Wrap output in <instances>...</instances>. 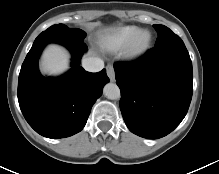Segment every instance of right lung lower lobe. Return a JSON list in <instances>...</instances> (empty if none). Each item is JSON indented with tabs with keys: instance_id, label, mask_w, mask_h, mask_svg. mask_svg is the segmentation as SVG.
Masks as SVG:
<instances>
[{
	"instance_id": "right-lung-lower-lobe-1",
	"label": "right lung lower lobe",
	"mask_w": 219,
	"mask_h": 174,
	"mask_svg": "<svg viewBox=\"0 0 219 174\" xmlns=\"http://www.w3.org/2000/svg\"><path fill=\"white\" fill-rule=\"evenodd\" d=\"M72 53V69L58 78L43 77L38 58L45 47L32 48L21 67L18 101L28 124L40 135L57 139L80 132L91 108L109 82L106 70L90 73L79 66L84 42L60 43Z\"/></svg>"
}]
</instances>
